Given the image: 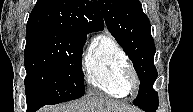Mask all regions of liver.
Masks as SVG:
<instances>
[{"label":"liver","instance_id":"liver-1","mask_svg":"<svg viewBox=\"0 0 193 112\" xmlns=\"http://www.w3.org/2000/svg\"><path fill=\"white\" fill-rule=\"evenodd\" d=\"M133 109L108 97H89L60 105L56 108L44 107L40 112H132Z\"/></svg>","mask_w":193,"mask_h":112}]
</instances>
